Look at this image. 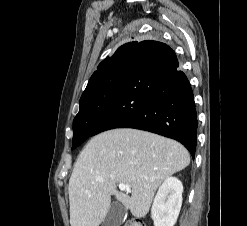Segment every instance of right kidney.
Returning a JSON list of instances; mask_svg holds the SVG:
<instances>
[{
	"label": "right kidney",
	"mask_w": 247,
	"mask_h": 226,
	"mask_svg": "<svg viewBox=\"0 0 247 226\" xmlns=\"http://www.w3.org/2000/svg\"><path fill=\"white\" fill-rule=\"evenodd\" d=\"M182 192V182L176 177H168L162 183L151 209L154 226H174L182 205Z\"/></svg>",
	"instance_id": "right-kidney-1"
}]
</instances>
